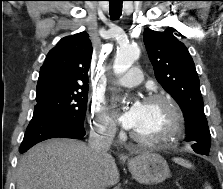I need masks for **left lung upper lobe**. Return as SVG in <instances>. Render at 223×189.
<instances>
[{"mask_svg": "<svg viewBox=\"0 0 223 189\" xmlns=\"http://www.w3.org/2000/svg\"><path fill=\"white\" fill-rule=\"evenodd\" d=\"M155 77L179 104L186 124V141L192 148L208 155L211 135L204 114L200 82L186 46L171 34L146 29L143 35Z\"/></svg>", "mask_w": 223, "mask_h": 189, "instance_id": "obj_1", "label": "left lung upper lobe"}]
</instances>
